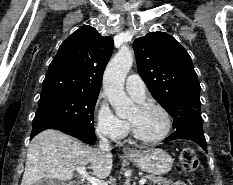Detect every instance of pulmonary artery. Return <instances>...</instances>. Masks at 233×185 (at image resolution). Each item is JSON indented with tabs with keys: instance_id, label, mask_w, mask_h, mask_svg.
<instances>
[{
	"instance_id": "1",
	"label": "pulmonary artery",
	"mask_w": 233,
	"mask_h": 185,
	"mask_svg": "<svg viewBox=\"0 0 233 185\" xmlns=\"http://www.w3.org/2000/svg\"><path fill=\"white\" fill-rule=\"evenodd\" d=\"M125 87L128 93L137 101H141L146 96V85L142 78L136 74L127 77Z\"/></svg>"
}]
</instances>
